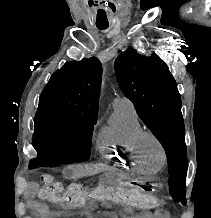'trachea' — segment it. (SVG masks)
Here are the masks:
<instances>
[{
    "instance_id": "3493384b",
    "label": "trachea",
    "mask_w": 211,
    "mask_h": 218,
    "mask_svg": "<svg viewBox=\"0 0 211 218\" xmlns=\"http://www.w3.org/2000/svg\"><path fill=\"white\" fill-rule=\"evenodd\" d=\"M99 30H105L107 27H98Z\"/></svg>"
}]
</instances>
